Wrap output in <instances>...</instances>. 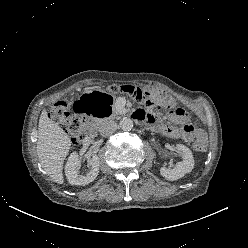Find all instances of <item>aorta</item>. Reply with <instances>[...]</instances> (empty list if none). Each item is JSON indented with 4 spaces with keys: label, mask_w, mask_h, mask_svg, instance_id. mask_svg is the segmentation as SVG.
Returning a JSON list of instances; mask_svg holds the SVG:
<instances>
[{
    "label": "aorta",
    "mask_w": 248,
    "mask_h": 248,
    "mask_svg": "<svg viewBox=\"0 0 248 248\" xmlns=\"http://www.w3.org/2000/svg\"><path fill=\"white\" fill-rule=\"evenodd\" d=\"M119 127L123 131H130L133 128V121L130 118L124 117L120 120Z\"/></svg>",
    "instance_id": "obj_1"
}]
</instances>
